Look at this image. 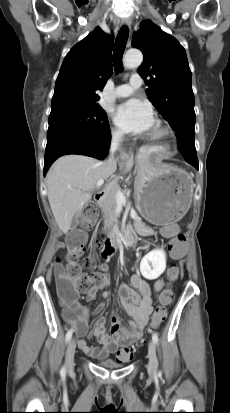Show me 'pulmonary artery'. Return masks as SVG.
I'll return each instance as SVG.
<instances>
[{
  "label": "pulmonary artery",
  "instance_id": "obj_1",
  "mask_svg": "<svg viewBox=\"0 0 230 413\" xmlns=\"http://www.w3.org/2000/svg\"><path fill=\"white\" fill-rule=\"evenodd\" d=\"M142 78L138 74H134L130 77L127 84H123L115 88L113 96L115 98H122L130 96L137 88L142 85Z\"/></svg>",
  "mask_w": 230,
  "mask_h": 413
}]
</instances>
